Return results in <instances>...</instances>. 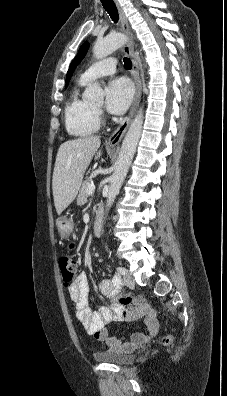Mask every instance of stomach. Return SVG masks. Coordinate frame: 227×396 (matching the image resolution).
<instances>
[{
	"instance_id": "0dacf381",
	"label": "stomach",
	"mask_w": 227,
	"mask_h": 396,
	"mask_svg": "<svg viewBox=\"0 0 227 396\" xmlns=\"http://www.w3.org/2000/svg\"><path fill=\"white\" fill-rule=\"evenodd\" d=\"M58 232L62 239H68L73 230V221L67 215L59 216L56 220Z\"/></svg>"
}]
</instances>
